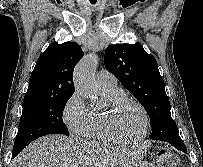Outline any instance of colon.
<instances>
[{"instance_id":"1","label":"colon","mask_w":203,"mask_h":167,"mask_svg":"<svg viewBox=\"0 0 203 167\" xmlns=\"http://www.w3.org/2000/svg\"><path fill=\"white\" fill-rule=\"evenodd\" d=\"M156 162L158 167H179L175 156L166 150L157 153Z\"/></svg>"}]
</instances>
